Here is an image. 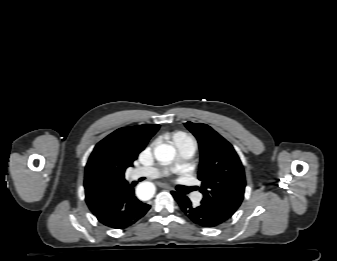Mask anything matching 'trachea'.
I'll return each instance as SVG.
<instances>
[{
    "label": "trachea",
    "instance_id": "3493384b",
    "mask_svg": "<svg viewBox=\"0 0 337 261\" xmlns=\"http://www.w3.org/2000/svg\"><path fill=\"white\" fill-rule=\"evenodd\" d=\"M192 190H194L193 187H186L185 193H188V192H190V191H192Z\"/></svg>",
    "mask_w": 337,
    "mask_h": 261
}]
</instances>
